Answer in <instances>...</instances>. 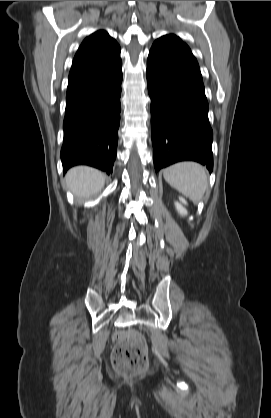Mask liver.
Segmentation results:
<instances>
[{
  "label": "liver",
  "instance_id": "obj_1",
  "mask_svg": "<svg viewBox=\"0 0 271 418\" xmlns=\"http://www.w3.org/2000/svg\"><path fill=\"white\" fill-rule=\"evenodd\" d=\"M67 187L77 198H89L102 190L105 175L88 166L71 168L65 176Z\"/></svg>",
  "mask_w": 271,
  "mask_h": 418
}]
</instances>
